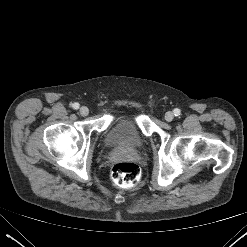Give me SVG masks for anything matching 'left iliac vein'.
I'll list each match as a JSON object with an SVG mask.
<instances>
[{"mask_svg":"<svg viewBox=\"0 0 247 247\" xmlns=\"http://www.w3.org/2000/svg\"><path fill=\"white\" fill-rule=\"evenodd\" d=\"M174 118V114L171 112V111H168L166 114H165V120L170 122L172 121Z\"/></svg>","mask_w":247,"mask_h":247,"instance_id":"4c4485c4","label":"left iliac vein"}]
</instances>
